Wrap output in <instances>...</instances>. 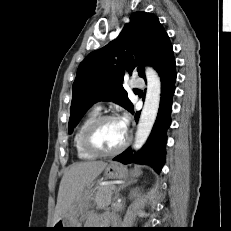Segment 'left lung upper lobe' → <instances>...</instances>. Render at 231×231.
Segmentation results:
<instances>
[{"label": "left lung upper lobe", "mask_w": 231, "mask_h": 231, "mask_svg": "<svg viewBox=\"0 0 231 231\" xmlns=\"http://www.w3.org/2000/svg\"><path fill=\"white\" fill-rule=\"evenodd\" d=\"M116 40L91 52L79 65L72 87L69 132L90 106L99 100H113L130 112L133 105L123 88L124 76L151 64L168 35L157 16L135 12Z\"/></svg>", "instance_id": "1"}]
</instances>
